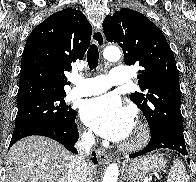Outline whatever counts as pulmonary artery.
<instances>
[{
    "instance_id": "e3ab8cb5",
    "label": "pulmonary artery",
    "mask_w": 196,
    "mask_h": 182,
    "mask_svg": "<svg viewBox=\"0 0 196 182\" xmlns=\"http://www.w3.org/2000/svg\"><path fill=\"white\" fill-rule=\"evenodd\" d=\"M131 71L126 67H114L110 75H100L75 79V86L70 91L72 97H84L101 94L114 85H125L129 83Z\"/></svg>"
}]
</instances>
